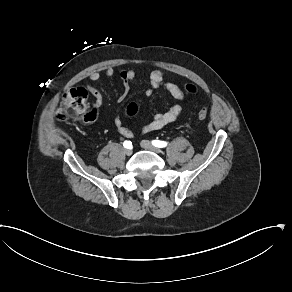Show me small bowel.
Instances as JSON below:
<instances>
[{
  "instance_id": "small-bowel-1",
  "label": "small bowel",
  "mask_w": 292,
  "mask_h": 292,
  "mask_svg": "<svg viewBox=\"0 0 292 292\" xmlns=\"http://www.w3.org/2000/svg\"><path fill=\"white\" fill-rule=\"evenodd\" d=\"M105 74L107 76H118L123 81V91L118 97V102H122L129 93L130 83L136 79L137 70L122 69L118 73H115L113 69L108 68ZM101 76L100 72L92 71L88 76L90 82L85 83L83 87L94 98V105L97 107L102 104L103 95L92 83L98 82ZM148 82L149 87L145 90L146 96H152L159 87H162L175 99L176 103L169 105L166 110L156 113L148 124L140 128V133H150L173 123L187 105L184 91L176 83L168 81L163 71L153 70L149 72ZM114 125L121 135L125 137H131L133 135L132 131L123 125L119 116L114 118Z\"/></svg>"
}]
</instances>
